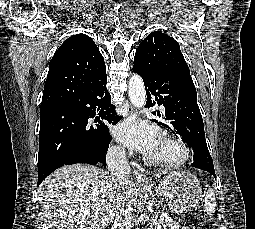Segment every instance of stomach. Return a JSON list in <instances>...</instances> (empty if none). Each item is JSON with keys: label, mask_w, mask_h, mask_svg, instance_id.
I'll return each instance as SVG.
<instances>
[{"label": "stomach", "mask_w": 255, "mask_h": 229, "mask_svg": "<svg viewBox=\"0 0 255 229\" xmlns=\"http://www.w3.org/2000/svg\"><path fill=\"white\" fill-rule=\"evenodd\" d=\"M155 194L164 198L172 213H184L194 208L202 196L197 177L188 171H175L155 188Z\"/></svg>", "instance_id": "obj_1"}]
</instances>
